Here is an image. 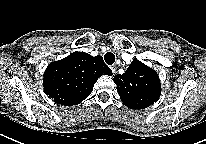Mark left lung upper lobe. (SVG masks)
I'll return each instance as SVG.
<instances>
[{
  "instance_id": "1",
  "label": "left lung upper lobe",
  "mask_w": 206,
  "mask_h": 144,
  "mask_svg": "<svg viewBox=\"0 0 206 144\" xmlns=\"http://www.w3.org/2000/svg\"><path fill=\"white\" fill-rule=\"evenodd\" d=\"M117 92L123 103L131 109H144L160 96L161 84L155 70L134 59L126 72L114 77Z\"/></svg>"
}]
</instances>
